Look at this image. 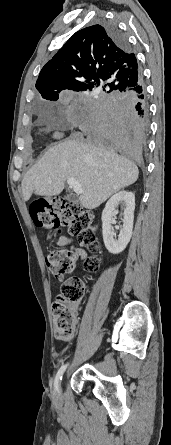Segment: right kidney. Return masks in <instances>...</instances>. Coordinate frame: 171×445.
<instances>
[{
	"label": "right kidney",
	"mask_w": 171,
	"mask_h": 445,
	"mask_svg": "<svg viewBox=\"0 0 171 445\" xmlns=\"http://www.w3.org/2000/svg\"><path fill=\"white\" fill-rule=\"evenodd\" d=\"M125 206L123 213V225L118 235V239H115V232L112 228L113 218L117 215L118 211L116 207L118 204ZM135 210V195L129 191H119L113 195L102 212V232L105 247L112 254L121 253L129 243L132 237L133 220Z\"/></svg>",
	"instance_id": "ca27d5eb"
}]
</instances>
